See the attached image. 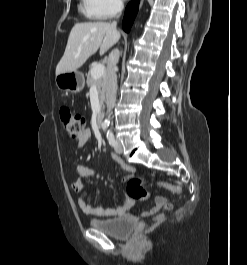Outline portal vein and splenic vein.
I'll list each match as a JSON object with an SVG mask.
<instances>
[{
	"label": "portal vein and splenic vein",
	"instance_id": "obj_1",
	"mask_svg": "<svg viewBox=\"0 0 247 265\" xmlns=\"http://www.w3.org/2000/svg\"><path fill=\"white\" fill-rule=\"evenodd\" d=\"M105 67L102 64H98L94 66L91 70V75L94 79H98L104 74Z\"/></svg>",
	"mask_w": 247,
	"mask_h": 265
}]
</instances>
